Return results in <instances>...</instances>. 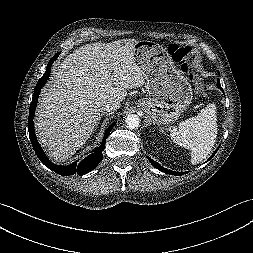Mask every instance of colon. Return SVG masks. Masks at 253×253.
Returning <instances> with one entry per match:
<instances>
[{"mask_svg":"<svg viewBox=\"0 0 253 253\" xmlns=\"http://www.w3.org/2000/svg\"><path fill=\"white\" fill-rule=\"evenodd\" d=\"M169 55L176 61L182 64L185 71L192 73L198 84L199 91L203 90V85L200 80V75L195 73L190 65L191 49L188 47H182L178 44H171L168 48Z\"/></svg>","mask_w":253,"mask_h":253,"instance_id":"colon-1","label":"colon"}]
</instances>
